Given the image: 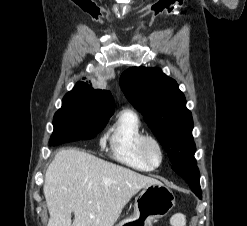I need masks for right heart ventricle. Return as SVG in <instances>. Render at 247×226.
<instances>
[{"label": "right heart ventricle", "mask_w": 247, "mask_h": 226, "mask_svg": "<svg viewBox=\"0 0 247 226\" xmlns=\"http://www.w3.org/2000/svg\"><path fill=\"white\" fill-rule=\"evenodd\" d=\"M144 130L138 115L132 110H123L109 130L110 152L120 163L139 171H150L141 157L138 144Z\"/></svg>", "instance_id": "right-heart-ventricle-1"}]
</instances>
